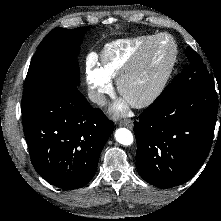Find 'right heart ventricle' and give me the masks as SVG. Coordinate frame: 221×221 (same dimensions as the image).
Listing matches in <instances>:
<instances>
[{"label":"right heart ventricle","instance_id":"e07e8e85","mask_svg":"<svg viewBox=\"0 0 221 221\" xmlns=\"http://www.w3.org/2000/svg\"><path fill=\"white\" fill-rule=\"evenodd\" d=\"M155 35H142L116 40L105 46L101 54L100 68L111 80L119 78L136 60L141 49Z\"/></svg>","mask_w":221,"mask_h":221}]
</instances>
